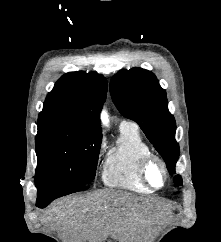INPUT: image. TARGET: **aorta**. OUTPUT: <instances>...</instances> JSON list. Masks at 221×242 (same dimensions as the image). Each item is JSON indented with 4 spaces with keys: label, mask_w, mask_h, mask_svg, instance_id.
<instances>
[{
    "label": "aorta",
    "mask_w": 221,
    "mask_h": 242,
    "mask_svg": "<svg viewBox=\"0 0 221 242\" xmlns=\"http://www.w3.org/2000/svg\"><path fill=\"white\" fill-rule=\"evenodd\" d=\"M102 119L105 123H107V114L105 112L102 113Z\"/></svg>",
    "instance_id": "obj_1"
}]
</instances>
